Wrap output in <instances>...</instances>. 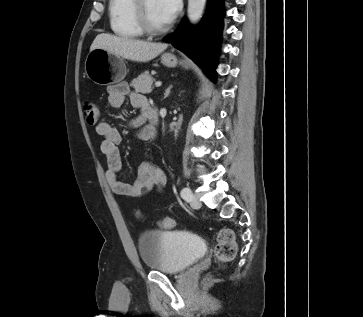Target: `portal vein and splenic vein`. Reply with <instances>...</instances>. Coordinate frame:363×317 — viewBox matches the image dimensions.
Segmentation results:
<instances>
[{"instance_id": "1", "label": "portal vein and splenic vein", "mask_w": 363, "mask_h": 317, "mask_svg": "<svg viewBox=\"0 0 363 317\" xmlns=\"http://www.w3.org/2000/svg\"><path fill=\"white\" fill-rule=\"evenodd\" d=\"M161 84H162V83H161L160 81H158V82H156V83H155V86H156V87H160V86H161Z\"/></svg>"}]
</instances>
